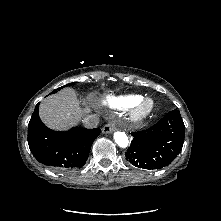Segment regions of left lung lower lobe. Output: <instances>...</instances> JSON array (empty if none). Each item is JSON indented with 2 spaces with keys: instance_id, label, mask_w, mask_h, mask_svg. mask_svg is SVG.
Masks as SVG:
<instances>
[{
  "instance_id": "1",
  "label": "left lung lower lobe",
  "mask_w": 221,
  "mask_h": 221,
  "mask_svg": "<svg viewBox=\"0 0 221 221\" xmlns=\"http://www.w3.org/2000/svg\"><path fill=\"white\" fill-rule=\"evenodd\" d=\"M185 126L178 110L165 115L154 126L133 132L125 156L138 168L160 169L170 164L184 143Z\"/></svg>"
}]
</instances>
